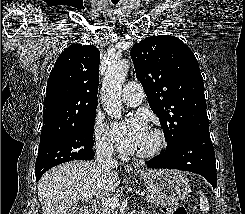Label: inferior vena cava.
<instances>
[{
	"mask_svg": "<svg viewBox=\"0 0 245 214\" xmlns=\"http://www.w3.org/2000/svg\"><path fill=\"white\" fill-rule=\"evenodd\" d=\"M96 154L98 164L102 167H113L117 165L115 159H113V149L111 146L103 141H98L96 143Z\"/></svg>",
	"mask_w": 245,
	"mask_h": 214,
	"instance_id": "inferior-vena-cava-1",
	"label": "inferior vena cava"
}]
</instances>
